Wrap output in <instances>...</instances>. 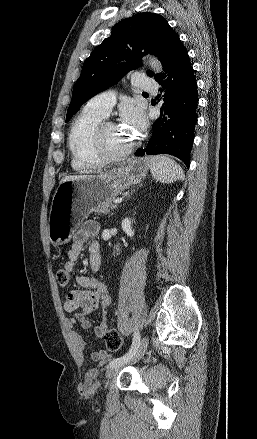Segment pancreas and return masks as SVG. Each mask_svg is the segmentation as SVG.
Returning <instances> with one entry per match:
<instances>
[{"instance_id":"obj_1","label":"pancreas","mask_w":257,"mask_h":439,"mask_svg":"<svg viewBox=\"0 0 257 439\" xmlns=\"http://www.w3.org/2000/svg\"><path fill=\"white\" fill-rule=\"evenodd\" d=\"M116 208L117 205L113 204L112 200H106L94 207L92 211L97 214H108L111 210H114Z\"/></svg>"}]
</instances>
